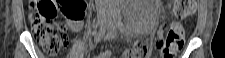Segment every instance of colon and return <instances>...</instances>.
<instances>
[{
    "mask_svg": "<svg viewBox=\"0 0 225 58\" xmlns=\"http://www.w3.org/2000/svg\"><path fill=\"white\" fill-rule=\"evenodd\" d=\"M30 26L37 42L48 56L57 55L68 43L66 27L56 21L59 7L67 20L80 21L85 17L86 4L83 0H34L31 1ZM193 0L173 1V13L177 18H186L194 12ZM185 31L182 27L172 25L166 31L165 38L155 41V46L161 51L162 58H174L182 49ZM148 51L146 44L138 43L123 52V58H141Z\"/></svg>",
    "mask_w": 225,
    "mask_h": 58,
    "instance_id": "1",
    "label": "colon"
}]
</instances>
